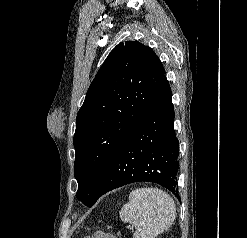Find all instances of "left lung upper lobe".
<instances>
[{"label":"left lung upper lobe","instance_id":"obj_1","mask_svg":"<svg viewBox=\"0 0 247 238\" xmlns=\"http://www.w3.org/2000/svg\"><path fill=\"white\" fill-rule=\"evenodd\" d=\"M165 70L157 55L137 41L120 43L91 83L76 119V197L91 207L109 166L156 94Z\"/></svg>","mask_w":247,"mask_h":238}]
</instances>
